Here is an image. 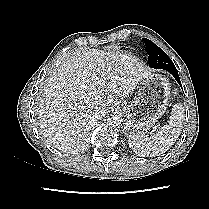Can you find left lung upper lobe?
Masks as SVG:
<instances>
[{"instance_id":"left-lung-upper-lobe-1","label":"left lung upper lobe","mask_w":209,"mask_h":209,"mask_svg":"<svg viewBox=\"0 0 209 209\" xmlns=\"http://www.w3.org/2000/svg\"><path fill=\"white\" fill-rule=\"evenodd\" d=\"M143 40L147 49V53L149 55L148 60L150 67L163 70L175 68V65L173 64L172 60L162 49H160L149 39L144 38Z\"/></svg>"}]
</instances>
